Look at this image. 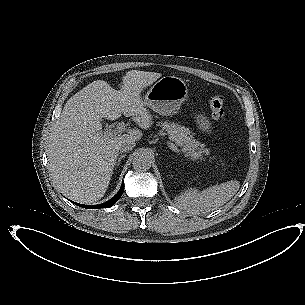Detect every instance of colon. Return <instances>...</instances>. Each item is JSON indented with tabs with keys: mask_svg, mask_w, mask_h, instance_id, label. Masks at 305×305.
Here are the masks:
<instances>
[{
	"mask_svg": "<svg viewBox=\"0 0 305 305\" xmlns=\"http://www.w3.org/2000/svg\"><path fill=\"white\" fill-rule=\"evenodd\" d=\"M210 108L212 117L217 121H223L225 117V109L223 106V99L219 96L210 100Z\"/></svg>",
	"mask_w": 305,
	"mask_h": 305,
	"instance_id": "colon-1",
	"label": "colon"
}]
</instances>
